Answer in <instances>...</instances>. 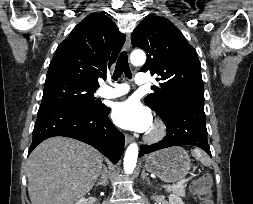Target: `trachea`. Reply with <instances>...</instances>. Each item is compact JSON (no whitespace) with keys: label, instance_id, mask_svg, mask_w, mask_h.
I'll return each mask as SVG.
<instances>
[{"label":"trachea","instance_id":"obj_1","mask_svg":"<svg viewBox=\"0 0 253 204\" xmlns=\"http://www.w3.org/2000/svg\"><path fill=\"white\" fill-rule=\"evenodd\" d=\"M123 72L128 78L132 77L126 52H122L117 60L116 68L113 74V80H117Z\"/></svg>","mask_w":253,"mask_h":204}]
</instances>
